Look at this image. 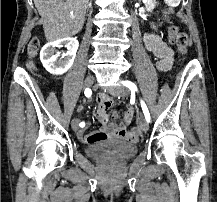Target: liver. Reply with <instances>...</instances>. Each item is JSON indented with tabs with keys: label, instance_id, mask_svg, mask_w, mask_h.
Listing matches in <instances>:
<instances>
[{
	"label": "liver",
	"instance_id": "1",
	"mask_svg": "<svg viewBox=\"0 0 217 202\" xmlns=\"http://www.w3.org/2000/svg\"><path fill=\"white\" fill-rule=\"evenodd\" d=\"M41 18L46 40L55 42L82 30L89 0H33Z\"/></svg>",
	"mask_w": 217,
	"mask_h": 202
}]
</instances>
